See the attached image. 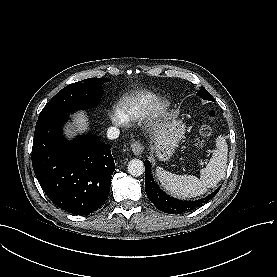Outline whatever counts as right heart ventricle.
I'll return each instance as SVG.
<instances>
[{
	"instance_id": "right-heart-ventricle-1",
	"label": "right heart ventricle",
	"mask_w": 277,
	"mask_h": 277,
	"mask_svg": "<svg viewBox=\"0 0 277 277\" xmlns=\"http://www.w3.org/2000/svg\"><path fill=\"white\" fill-rule=\"evenodd\" d=\"M155 99V95L147 91H136L124 97L117 109L125 119L136 120L148 113Z\"/></svg>"
}]
</instances>
